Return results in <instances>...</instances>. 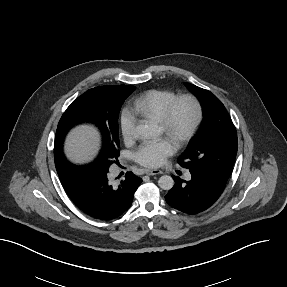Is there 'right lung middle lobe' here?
Returning a JSON list of instances; mask_svg holds the SVG:
<instances>
[{
	"mask_svg": "<svg viewBox=\"0 0 287 287\" xmlns=\"http://www.w3.org/2000/svg\"><path fill=\"white\" fill-rule=\"evenodd\" d=\"M136 89L127 85L100 86L86 91L75 99L62 115L55 140L60 138V147L66 132L80 122L95 124L102 135L103 146L92 166L108 171L112 163H118L119 128L118 116L124 100Z\"/></svg>",
	"mask_w": 287,
	"mask_h": 287,
	"instance_id": "1",
	"label": "right lung middle lobe"
}]
</instances>
